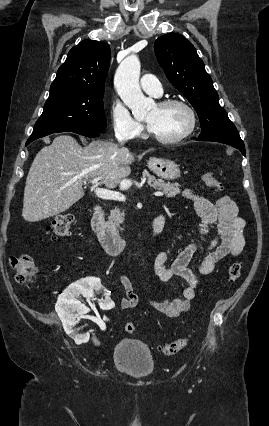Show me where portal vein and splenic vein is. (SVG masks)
I'll list each match as a JSON object with an SVG mask.
<instances>
[{
    "label": "portal vein and splenic vein",
    "mask_w": 269,
    "mask_h": 426,
    "mask_svg": "<svg viewBox=\"0 0 269 426\" xmlns=\"http://www.w3.org/2000/svg\"><path fill=\"white\" fill-rule=\"evenodd\" d=\"M99 180H100V178H95V179L90 181V183L92 185V189L94 190V192H95V194L98 198H101V199H104V200L125 201V199H126L125 196L123 194H121L120 192L111 191V190H108V189L98 187V181ZM121 187H122V189H124L128 186L122 185ZM154 195L155 196H163L164 193L155 192Z\"/></svg>",
    "instance_id": "obj_1"
}]
</instances>
